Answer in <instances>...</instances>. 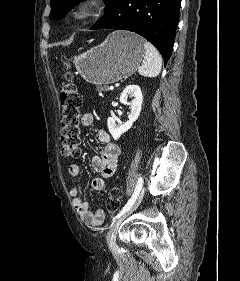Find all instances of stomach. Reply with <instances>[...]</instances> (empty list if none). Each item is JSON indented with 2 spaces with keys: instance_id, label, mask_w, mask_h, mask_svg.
Here are the masks:
<instances>
[{
  "instance_id": "stomach-1",
  "label": "stomach",
  "mask_w": 240,
  "mask_h": 281,
  "mask_svg": "<svg viewBox=\"0 0 240 281\" xmlns=\"http://www.w3.org/2000/svg\"><path fill=\"white\" fill-rule=\"evenodd\" d=\"M144 43L134 33L115 31L100 45L75 57L74 64L89 83H114L135 73L145 54Z\"/></svg>"
}]
</instances>
